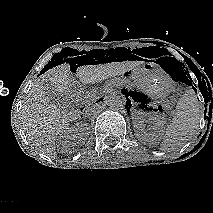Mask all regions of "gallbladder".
I'll return each instance as SVG.
<instances>
[{"mask_svg": "<svg viewBox=\"0 0 213 213\" xmlns=\"http://www.w3.org/2000/svg\"><path fill=\"white\" fill-rule=\"evenodd\" d=\"M46 95L49 97L50 101L55 103L59 108L67 110L70 108V102L67 96L59 93L51 84L46 83L45 85Z\"/></svg>", "mask_w": 213, "mask_h": 213, "instance_id": "gallbladder-1", "label": "gallbladder"}]
</instances>
